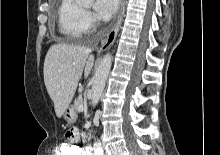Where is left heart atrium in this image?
I'll list each match as a JSON object with an SVG mask.
<instances>
[{"instance_id": "39dd6f15", "label": "left heart atrium", "mask_w": 220, "mask_h": 155, "mask_svg": "<svg viewBox=\"0 0 220 155\" xmlns=\"http://www.w3.org/2000/svg\"><path fill=\"white\" fill-rule=\"evenodd\" d=\"M120 0H97L95 9L103 18H109L117 11Z\"/></svg>"}]
</instances>
